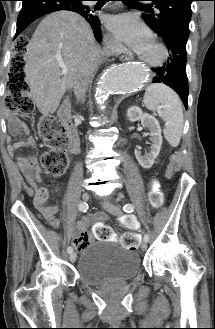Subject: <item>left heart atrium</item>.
<instances>
[{
    "label": "left heart atrium",
    "instance_id": "39dd6f15",
    "mask_svg": "<svg viewBox=\"0 0 215 329\" xmlns=\"http://www.w3.org/2000/svg\"><path fill=\"white\" fill-rule=\"evenodd\" d=\"M108 26L115 39L138 53L152 45L150 30L134 15L123 14L109 20Z\"/></svg>",
    "mask_w": 215,
    "mask_h": 329
}]
</instances>
